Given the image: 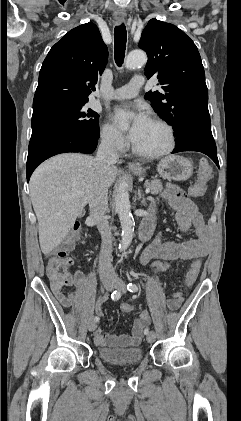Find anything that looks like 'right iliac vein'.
Here are the masks:
<instances>
[{
  "label": "right iliac vein",
  "instance_id": "63e3f726",
  "mask_svg": "<svg viewBox=\"0 0 241 421\" xmlns=\"http://www.w3.org/2000/svg\"><path fill=\"white\" fill-rule=\"evenodd\" d=\"M102 286L105 290L110 291L114 287V282H113V280H110V279H104L102 281ZM96 327H97L96 321H90L89 322V324H88L89 331H94L96 329Z\"/></svg>",
  "mask_w": 241,
  "mask_h": 421
}]
</instances>
